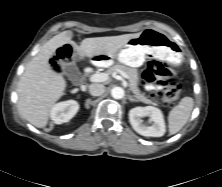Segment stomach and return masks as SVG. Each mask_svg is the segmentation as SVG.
Returning <instances> with one entry per match:
<instances>
[{
  "label": "stomach",
  "instance_id": "stomach-1",
  "mask_svg": "<svg viewBox=\"0 0 222 187\" xmlns=\"http://www.w3.org/2000/svg\"><path fill=\"white\" fill-rule=\"evenodd\" d=\"M147 56L180 65L183 61V52L179 44L163 31L148 28L141 34L130 39L114 55H98L93 58V63L107 65L114 59L130 67H140Z\"/></svg>",
  "mask_w": 222,
  "mask_h": 187
}]
</instances>
